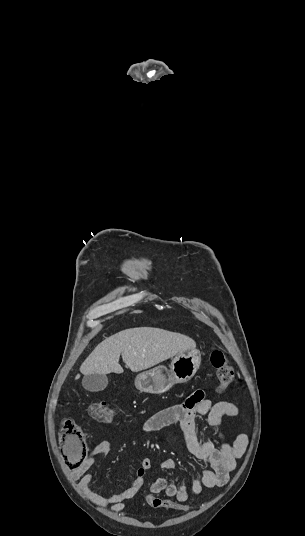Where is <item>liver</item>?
<instances>
[{
	"mask_svg": "<svg viewBox=\"0 0 305 536\" xmlns=\"http://www.w3.org/2000/svg\"><path fill=\"white\" fill-rule=\"evenodd\" d=\"M195 348L194 340L183 334L167 332L160 328H130L98 344L80 366V372L84 376L112 372L122 374L124 370L119 364L120 356L131 372H141L177 356L180 352ZM79 378L80 374H77L75 380Z\"/></svg>",
	"mask_w": 305,
	"mask_h": 536,
	"instance_id": "obj_1",
	"label": "liver"
}]
</instances>
